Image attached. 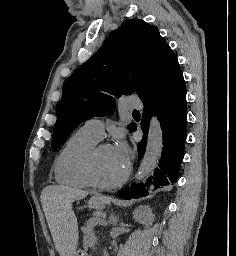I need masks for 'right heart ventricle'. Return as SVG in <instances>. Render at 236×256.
Masks as SVG:
<instances>
[{
    "label": "right heart ventricle",
    "instance_id": "e07e8e85",
    "mask_svg": "<svg viewBox=\"0 0 236 256\" xmlns=\"http://www.w3.org/2000/svg\"><path fill=\"white\" fill-rule=\"evenodd\" d=\"M97 142L81 129L75 132L56 158V182L72 188H91L88 160Z\"/></svg>",
    "mask_w": 236,
    "mask_h": 256
}]
</instances>
